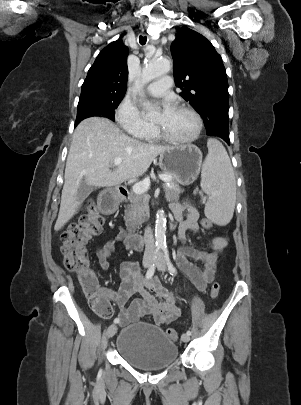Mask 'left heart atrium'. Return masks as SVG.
I'll return each instance as SVG.
<instances>
[{
    "label": "left heart atrium",
    "mask_w": 301,
    "mask_h": 405,
    "mask_svg": "<svg viewBox=\"0 0 301 405\" xmlns=\"http://www.w3.org/2000/svg\"><path fill=\"white\" fill-rule=\"evenodd\" d=\"M173 110H174V108H173L172 104L169 101H166L164 103V112L169 113V112H171Z\"/></svg>",
    "instance_id": "39dd6f15"
}]
</instances>
